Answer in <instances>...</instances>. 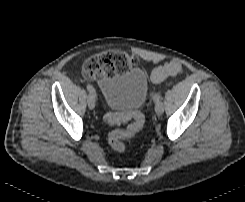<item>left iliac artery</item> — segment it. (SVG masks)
I'll return each instance as SVG.
<instances>
[{
	"instance_id": "obj_1",
	"label": "left iliac artery",
	"mask_w": 245,
	"mask_h": 202,
	"mask_svg": "<svg viewBox=\"0 0 245 202\" xmlns=\"http://www.w3.org/2000/svg\"><path fill=\"white\" fill-rule=\"evenodd\" d=\"M162 100V96L160 95V93H156L154 96H153V101L154 103H159L160 101Z\"/></svg>"
}]
</instances>
